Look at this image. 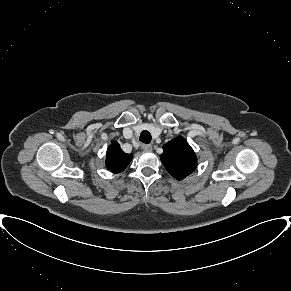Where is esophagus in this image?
Segmentation results:
<instances>
[{"label":"esophagus","instance_id":"34e87169","mask_svg":"<svg viewBox=\"0 0 291 291\" xmlns=\"http://www.w3.org/2000/svg\"><path fill=\"white\" fill-rule=\"evenodd\" d=\"M142 148L144 151H151L152 150V145L151 144H143Z\"/></svg>","mask_w":291,"mask_h":291}]
</instances>
